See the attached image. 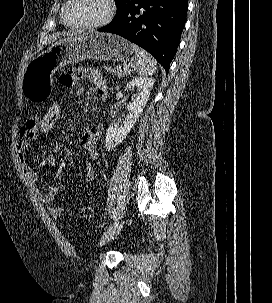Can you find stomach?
Instances as JSON below:
<instances>
[{
	"mask_svg": "<svg viewBox=\"0 0 272 303\" xmlns=\"http://www.w3.org/2000/svg\"><path fill=\"white\" fill-rule=\"evenodd\" d=\"M132 44L110 33L89 31L60 40L37 55L27 65L22 78V93L31 102H42L51 93L52 77L68 64L85 59L127 63L136 59Z\"/></svg>",
	"mask_w": 272,
	"mask_h": 303,
	"instance_id": "obj_1",
	"label": "stomach"
}]
</instances>
